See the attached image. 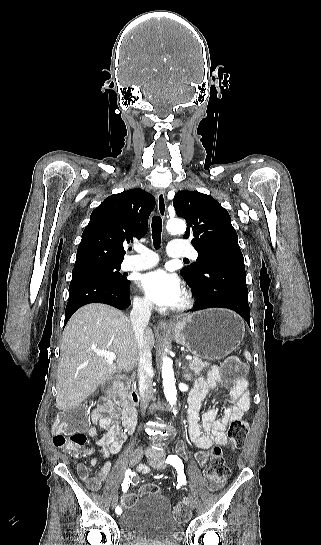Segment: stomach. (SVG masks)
I'll return each instance as SVG.
<instances>
[{"mask_svg":"<svg viewBox=\"0 0 321 545\" xmlns=\"http://www.w3.org/2000/svg\"><path fill=\"white\" fill-rule=\"evenodd\" d=\"M176 343L194 357L224 359L241 345L245 325L236 313L227 309H206L186 315L171 331Z\"/></svg>","mask_w":321,"mask_h":545,"instance_id":"1","label":"stomach"}]
</instances>
